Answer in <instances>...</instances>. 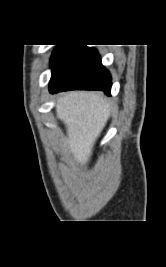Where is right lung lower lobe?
<instances>
[{
    "mask_svg": "<svg viewBox=\"0 0 166 267\" xmlns=\"http://www.w3.org/2000/svg\"><path fill=\"white\" fill-rule=\"evenodd\" d=\"M50 93L101 90L110 95L112 79L100 55L86 45H57L51 56Z\"/></svg>",
    "mask_w": 166,
    "mask_h": 267,
    "instance_id": "right-lung-lower-lobe-1",
    "label": "right lung lower lobe"
}]
</instances>
